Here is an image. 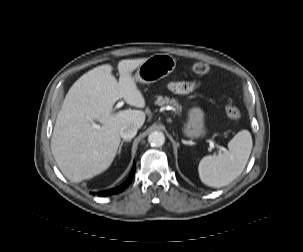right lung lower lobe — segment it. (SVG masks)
Instances as JSON below:
<instances>
[{
  "mask_svg": "<svg viewBox=\"0 0 303 252\" xmlns=\"http://www.w3.org/2000/svg\"><path fill=\"white\" fill-rule=\"evenodd\" d=\"M134 172H135V164L133 165V168H132V171L130 173L129 178L120 187L112 188V189L97 192V193L93 192L92 194L93 195L96 194L98 196H108V195H113V194H116V193H119V192L123 191L130 184V182H131V180L134 176Z\"/></svg>",
  "mask_w": 303,
  "mask_h": 252,
  "instance_id": "right-lung-lower-lobe-1",
  "label": "right lung lower lobe"
}]
</instances>
